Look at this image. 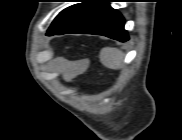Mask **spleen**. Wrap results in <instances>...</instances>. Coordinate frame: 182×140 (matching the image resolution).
Returning <instances> with one entry per match:
<instances>
[{"mask_svg":"<svg viewBox=\"0 0 182 140\" xmlns=\"http://www.w3.org/2000/svg\"><path fill=\"white\" fill-rule=\"evenodd\" d=\"M101 63L110 69H119L122 66L123 53L117 48H103L100 51Z\"/></svg>","mask_w":182,"mask_h":140,"instance_id":"obj_1","label":"spleen"}]
</instances>
